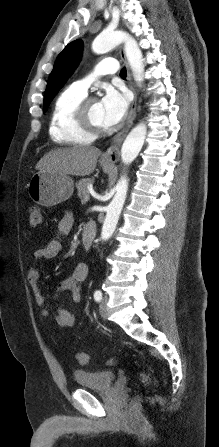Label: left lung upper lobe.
Instances as JSON below:
<instances>
[{"instance_id": "obj_1", "label": "left lung upper lobe", "mask_w": 219, "mask_h": 447, "mask_svg": "<svg viewBox=\"0 0 219 447\" xmlns=\"http://www.w3.org/2000/svg\"><path fill=\"white\" fill-rule=\"evenodd\" d=\"M82 47V41L75 40L69 43L58 55L45 90L43 112L47 110L55 95L77 67Z\"/></svg>"}]
</instances>
